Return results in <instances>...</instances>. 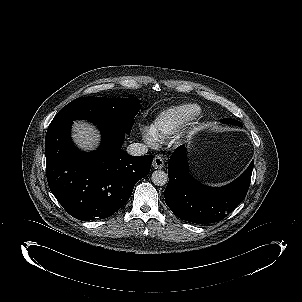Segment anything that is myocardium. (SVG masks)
<instances>
[{
    "mask_svg": "<svg viewBox=\"0 0 302 302\" xmlns=\"http://www.w3.org/2000/svg\"><path fill=\"white\" fill-rule=\"evenodd\" d=\"M189 124H191V123H189ZM179 137H180V135L174 137V140H177Z\"/></svg>",
    "mask_w": 302,
    "mask_h": 302,
    "instance_id": "obj_1",
    "label": "myocardium"
}]
</instances>
